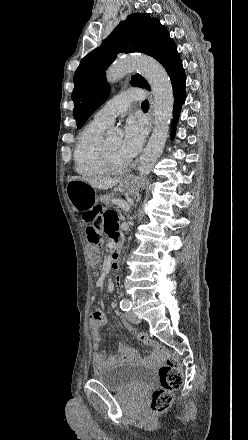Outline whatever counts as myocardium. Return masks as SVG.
Here are the masks:
<instances>
[{
    "instance_id": "f54148a6",
    "label": "myocardium",
    "mask_w": 248,
    "mask_h": 440,
    "mask_svg": "<svg viewBox=\"0 0 248 440\" xmlns=\"http://www.w3.org/2000/svg\"><path fill=\"white\" fill-rule=\"evenodd\" d=\"M101 161L104 168L109 173H121L129 168V163H126L124 165H119L114 162L106 140H103L101 145Z\"/></svg>"
}]
</instances>
